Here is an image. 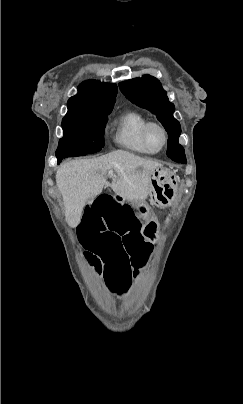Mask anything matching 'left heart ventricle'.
<instances>
[{
	"label": "left heart ventricle",
	"instance_id": "b2bd125f",
	"mask_svg": "<svg viewBox=\"0 0 243 404\" xmlns=\"http://www.w3.org/2000/svg\"><path fill=\"white\" fill-rule=\"evenodd\" d=\"M149 139L154 147H159L162 144V133L156 127H152L148 132Z\"/></svg>",
	"mask_w": 243,
	"mask_h": 404
}]
</instances>
